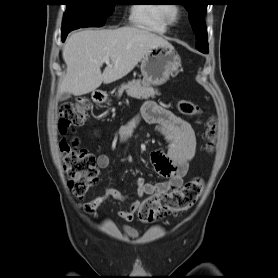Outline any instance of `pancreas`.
Here are the masks:
<instances>
[{"mask_svg": "<svg viewBox=\"0 0 278 278\" xmlns=\"http://www.w3.org/2000/svg\"><path fill=\"white\" fill-rule=\"evenodd\" d=\"M126 91L127 95L136 99L154 98L158 94L157 89H154L146 80H136L122 85L118 90V97Z\"/></svg>", "mask_w": 278, "mask_h": 278, "instance_id": "obj_1", "label": "pancreas"}]
</instances>
